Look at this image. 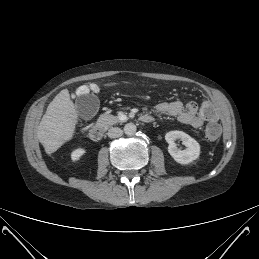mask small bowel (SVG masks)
<instances>
[{
  "label": "small bowel",
  "mask_w": 259,
  "mask_h": 259,
  "mask_svg": "<svg viewBox=\"0 0 259 259\" xmlns=\"http://www.w3.org/2000/svg\"><path fill=\"white\" fill-rule=\"evenodd\" d=\"M159 114L173 116L182 124L189 125L193 128H200L208 119L200 111L195 102L190 101L185 105L178 100L161 102L156 106Z\"/></svg>",
  "instance_id": "1"
}]
</instances>
